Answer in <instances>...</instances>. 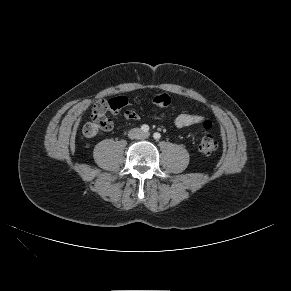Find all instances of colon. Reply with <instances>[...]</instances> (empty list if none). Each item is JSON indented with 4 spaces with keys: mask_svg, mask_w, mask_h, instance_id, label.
Listing matches in <instances>:
<instances>
[{
    "mask_svg": "<svg viewBox=\"0 0 291 291\" xmlns=\"http://www.w3.org/2000/svg\"><path fill=\"white\" fill-rule=\"evenodd\" d=\"M146 104H155L159 107H167L171 99L167 94H148L143 98ZM129 104V96L127 94H121L109 101V109L104 112L95 113L92 115V120L86 123L83 127V134L87 138H93L97 136L101 131H109L112 128V122L108 118V112L119 113ZM204 135L199 143V150L204 155H211L218 149V142L211 134L212 123L209 120L204 121Z\"/></svg>",
    "mask_w": 291,
    "mask_h": 291,
    "instance_id": "colon-1",
    "label": "colon"
}]
</instances>
